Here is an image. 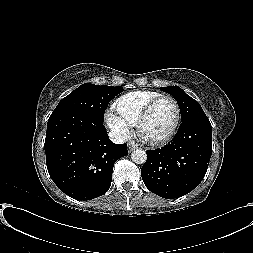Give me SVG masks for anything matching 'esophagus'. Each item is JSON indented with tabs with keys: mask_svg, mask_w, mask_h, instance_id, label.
<instances>
[{
	"mask_svg": "<svg viewBox=\"0 0 253 253\" xmlns=\"http://www.w3.org/2000/svg\"><path fill=\"white\" fill-rule=\"evenodd\" d=\"M137 148H138V145L135 144L134 142H129L128 143V150H129V152H132L133 150H135Z\"/></svg>",
	"mask_w": 253,
	"mask_h": 253,
	"instance_id": "34e87169",
	"label": "esophagus"
}]
</instances>
